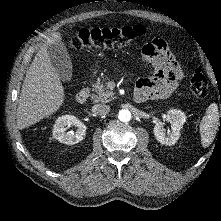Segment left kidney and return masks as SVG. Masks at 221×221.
<instances>
[{"instance_id":"obj_1","label":"left kidney","mask_w":221,"mask_h":221,"mask_svg":"<svg viewBox=\"0 0 221 221\" xmlns=\"http://www.w3.org/2000/svg\"><path fill=\"white\" fill-rule=\"evenodd\" d=\"M166 121L170 122L171 131L163 132V122H158L154 127V135L158 142L164 145H173L180 136V130L186 122V115L178 109H170L166 115Z\"/></svg>"}]
</instances>
